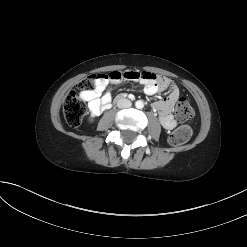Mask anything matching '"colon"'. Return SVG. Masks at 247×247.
<instances>
[{
    "mask_svg": "<svg viewBox=\"0 0 247 247\" xmlns=\"http://www.w3.org/2000/svg\"><path fill=\"white\" fill-rule=\"evenodd\" d=\"M101 75H91L86 79H83L77 84V89L80 91L90 90L96 80L101 78ZM86 106L84 99L76 91L70 92L63 105V113L67 123L71 127H78L85 115ZM175 115L181 121H186L194 116V109L190 103L181 98L176 104ZM192 134V130L188 125H181L174 130L169 136V143L172 145H182L186 143Z\"/></svg>",
    "mask_w": 247,
    "mask_h": 247,
    "instance_id": "5ec220e1",
    "label": "colon"
}]
</instances>
